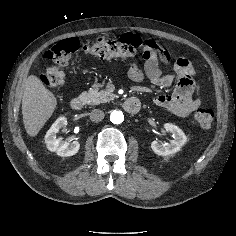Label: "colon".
I'll list each match as a JSON object with an SVG mask.
<instances>
[{"mask_svg":"<svg viewBox=\"0 0 236 236\" xmlns=\"http://www.w3.org/2000/svg\"><path fill=\"white\" fill-rule=\"evenodd\" d=\"M135 44L117 41L112 38H99L95 41L86 42L83 45V51L90 57L100 59H130L137 54ZM79 48V41L76 38H68L62 40L52 46L44 54L46 63L43 66L41 80L48 87H58L65 82V67L70 60L71 55ZM159 51L157 49H145L143 52L144 59L157 57ZM198 124L209 129L214 123V112L210 108L198 109L195 114Z\"/></svg>","mask_w":236,"mask_h":236,"instance_id":"1","label":"colon"}]
</instances>
